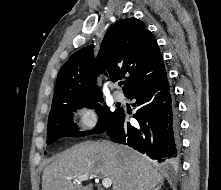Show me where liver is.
Here are the masks:
<instances>
[{
  "mask_svg": "<svg viewBox=\"0 0 221 190\" xmlns=\"http://www.w3.org/2000/svg\"><path fill=\"white\" fill-rule=\"evenodd\" d=\"M89 174L112 180L113 190H154L163 182L150 160L110 141H87L59 154L43 171L42 190H92L67 178Z\"/></svg>",
  "mask_w": 221,
  "mask_h": 190,
  "instance_id": "1",
  "label": "liver"
}]
</instances>
